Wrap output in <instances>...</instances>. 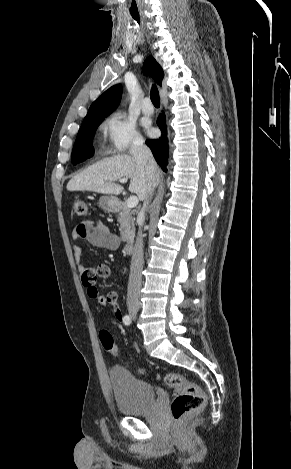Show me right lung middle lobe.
<instances>
[{
	"instance_id": "1",
	"label": "right lung middle lobe",
	"mask_w": 291,
	"mask_h": 469,
	"mask_svg": "<svg viewBox=\"0 0 291 469\" xmlns=\"http://www.w3.org/2000/svg\"><path fill=\"white\" fill-rule=\"evenodd\" d=\"M103 118L84 120L78 132L73 151L72 163L77 164L93 156L92 138Z\"/></svg>"
}]
</instances>
